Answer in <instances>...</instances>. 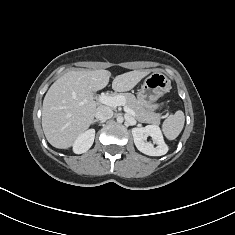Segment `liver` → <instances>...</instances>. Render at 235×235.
Here are the masks:
<instances>
[{"mask_svg":"<svg viewBox=\"0 0 235 235\" xmlns=\"http://www.w3.org/2000/svg\"><path fill=\"white\" fill-rule=\"evenodd\" d=\"M149 71L134 70L113 79L112 89L125 92L134 88ZM108 70H73L58 78L47 91L42 107V128L55 148L71 147L94 121L97 104L93 92L105 88Z\"/></svg>","mask_w":235,"mask_h":235,"instance_id":"liver-1","label":"liver"}]
</instances>
